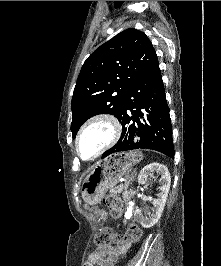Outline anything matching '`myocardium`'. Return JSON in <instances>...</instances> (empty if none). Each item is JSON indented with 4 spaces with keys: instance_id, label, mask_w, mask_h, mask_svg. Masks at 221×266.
<instances>
[{
    "instance_id": "1",
    "label": "myocardium",
    "mask_w": 221,
    "mask_h": 266,
    "mask_svg": "<svg viewBox=\"0 0 221 266\" xmlns=\"http://www.w3.org/2000/svg\"><path fill=\"white\" fill-rule=\"evenodd\" d=\"M106 122L110 128H111V137L108 140V142L92 157L90 158H84L79 150V141L81 136L83 135V133L94 123L97 122ZM122 132V126L119 122V120L113 116L112 114H108V113H100V114H96L94 116H92L91 118H89L80 128V130L78 131V134L75 138V150L76 153L78 155L79 158H81L84 161H92L95 160L96 158H98L100 155H102L107 149H109L112 145H114L116 143V141L119 139L120 135Z\"/></svg>"
}]
</instances>
